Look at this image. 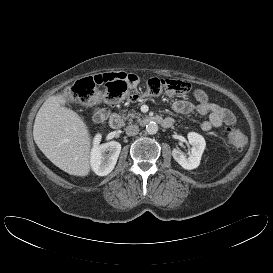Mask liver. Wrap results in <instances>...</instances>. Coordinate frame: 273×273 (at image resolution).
Masks as SVG:
<instances>
[{
    "instance_id": "1",
    "label": "liver",
    "mask_w": 273,
    "mask_h": 273,
    "mask_svg": "<svg viewBox=\"0 0 273 273\" xmlns=\"http://www.w3.org/2000/svg\"><path fill=\"white\" fill-rule=\"evenodd\" d=\"M67 102L65 93H57L43 103L33 126L34 141L61 170L87 176L91 168V136L84 120L65 107Z\"/></svg>"
}]
</instances>
